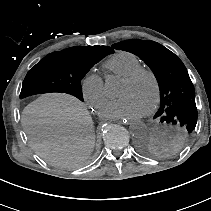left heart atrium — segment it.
I'll list each match as a JSON object with an SVG mask.
<instances>
[{
  "mask_svg": "<svg viewBox=\"0 0 211 211\" xmlns=\"http://www.w3.org/2000/svg\"><path fill=\"white\" fill-rule=\"evenodd\" d=\"M143 113L142 107L131 96H122L106 102L99 115L103 119H119L139 117Z\"/></svg>",
  "mask_w": 211,
  "mask_h": 211,
  "instance_id": "obj_1",
  "label": "left heart atrium"
}]
</instances>
